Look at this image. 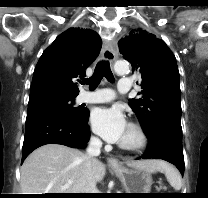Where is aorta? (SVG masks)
Here are the masks:
<instances>
[{"mask_svg": "<svg viewBox=\"0 0 208 198\" xmlns=\"http://www.w3.org/2000/svg\"><path fill=\"white\" fill-rule=\"evenodd\" d=\"M114 70L118 75H124L129 71V64L126 61H117Z\"/></svg>", "mask_w": 208, "mask_h": 198, "instance_id": "aorta-1", "label": "aorta"}]
</instances>
